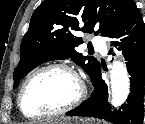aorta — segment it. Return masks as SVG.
<instances>
[{"label":"aorta","mask_w":145,"mask_h":124,"mask_svg":"<svg viewBox=\"0 0 145 124\" xmlns=\"http://www.w3.org/2000/svg\"><path fill=\"white\" fill-rule=\"evenodd\" d=\"M111 104L115 107L121 106L127 99L130 92V79L127 68L121 61H115L111 72Z\"/></svg>","instance_id":"aorta-1"}]
</instances>
